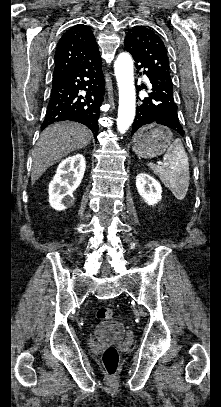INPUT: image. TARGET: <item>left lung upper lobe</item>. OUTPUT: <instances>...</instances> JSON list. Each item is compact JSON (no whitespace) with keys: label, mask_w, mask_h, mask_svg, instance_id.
<instances>
[{"label":"left lung upper lobe","mask_w":221,"mask_h":407,"mask_svg":"<svg viewBox=\"0 0 221 407\" xmlns=\"http://www.w3.org/2000/svg\"><path fill=\"white\" fill-rule=\"evenodd\" d=\"M133 58L155 74L171 80L167 50L163 41L149 28L135 26L126 35Z\"/></svg>","instance_id":"left-lung-upper-lobe-1"}]
</instances>
